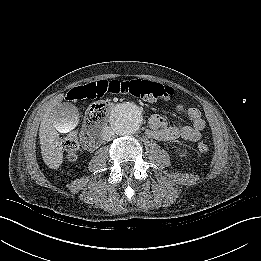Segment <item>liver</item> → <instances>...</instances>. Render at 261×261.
<instances>
[{"instance_id": "1", "label": "liver", "mask_w": 261, "mask_h": 261, "mask_svg": "<svg viewBox=\"0 0 261 261\" xmlns=\"http://www.w3.org/2000/svg\"><path fill=\"white\" fill-rule=\"evenodd\" d=\"M63 98L64 94H58L49 101L39 128L42 158L44 163L51 169L59 168L63 161V147L59 132L66 133L74 129L79 118L78 112L70 120L56 117L57 112L54 108L61 104Z\"/></svg>"}]
</instances>
